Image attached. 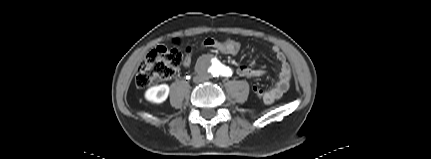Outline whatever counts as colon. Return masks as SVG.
<instances>
[{"label":"colon","instance_id":"1","mask_svg":"<svg viewBox=\"0 0 431 159\" xmlns=\"http://www.w3.org/2000/svg\"><path fill=\"white\" fill-rule=\"evenodd\" d=\"M217 54L235 57L238 51L237 49L226 47L224 50L217 49ZM182 61L183 55L178 49L167 48L165 46L156 47L147 54L146 58L139 65L135 75L136 86L143 89L150 86L156 80L171 78L179 69ZM253 94L261 98L264 96L265 91L261 87H253Z\"/></svg>","mask_w":431,"mask_h":159}]
</instances>
